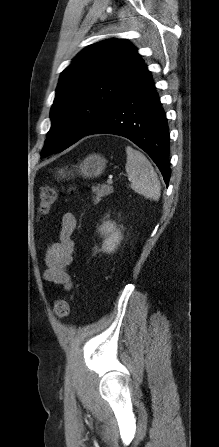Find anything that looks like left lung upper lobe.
Here are the masks:
<instances>
[{"instance_id":"1","label":"left lung upper lobe","mask_w":219,"mask_h":447,"mask_svg":"<svg viewBox=\"0 0 219 447\" xmlns=\"http://www.w3.org/2000/svg\"><path fill=\"white\" fill-rule=\"evenodd\" d=\"M143 65L137 49L123 39L100 41L80 52L61 74L41 156L63 151L84 137Z\"/></svg>"}]
</instances>
